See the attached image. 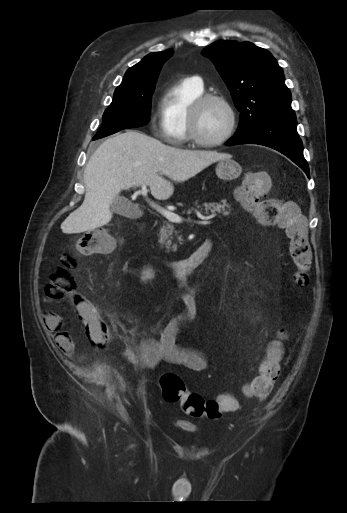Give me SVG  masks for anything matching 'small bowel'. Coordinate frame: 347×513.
Returning <instances> with one entry per match:
<instances>
[{
    "label": "small bowel",
    "mask_w": 347,
    "mask_h": 513,
    "mask_svg": "<svg viewBox=\"0 0 347 513\" xmlns=\"http://www.w3.org/2000/svg\"><path fill=\"white\" fill-rule=\"evenodd\" d=\"M179 300L183 306L182 312L160 330L157 339L144 337L136 346L123 350V357L134 367L150 368L161 362H168L195 372H201L207 368V360L200 351L181 347L176 343L179 333L196 314V302L191 293H182ZM61 324V319L57 315L48 314L45 317V325L54 333L57 348L66 355H73L75 344L69 333L61 330Z\"/></svg>",
    "instance_id": "1"
}]
</instances>
